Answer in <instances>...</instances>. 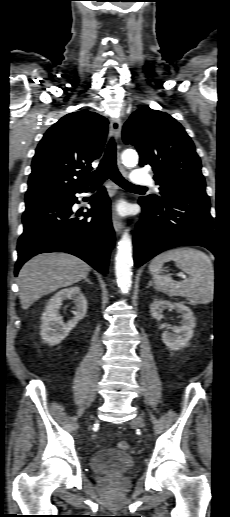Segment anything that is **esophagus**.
Returning a JSON list of instances; mask_svg holds the SVG:
<instances>
[{"label":"esophagus","instance_id":"esophagus-1","mask_svg":"<svg viewBox=\"0 0 230 517\" xmlns=\"http://www.w3.org/2000/svg\"><path fill=\"white\" fill-rule=\"evenodd\" d=\"M121 127H122V123H121L120 118H118V117L112 118L111 123H110V131H111L112 136L115 138V140H118L120 137ZM112 223H113V227H114L115 231L118 234H120L122 231L123 224H122L120 217L117 215L114 207H113V211H112Z\"/></svg>","mask_w":230,"mask_h":517}]
</instances>
